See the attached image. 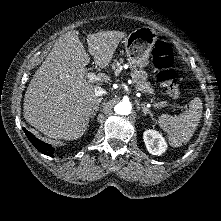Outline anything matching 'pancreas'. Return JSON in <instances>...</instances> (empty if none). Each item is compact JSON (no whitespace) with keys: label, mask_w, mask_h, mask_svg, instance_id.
Masks as SVG:
<instances>
[{"label":"pancreas","mask_w":221,"mask_h":221,"mask_svg":"<svg viewBox=\"0 0 221 221\" xmlns=\"http://www.w3.org/2000/svg\"><path fill=\"white\" fill-rule=\"evenodd\" d=\"M112 67L115 70L116 74L119 73L121 61L114 63ZM131 67L134 69L131 73V76L133 78V83L136 90L147 94H153V89L151 88L150 83L147 81V74L142 70H137L135 66ZM156 106L162 107L164 106V103H158Z\"/></svg>","instance_id":"cf45deb5"}]
</instances>
